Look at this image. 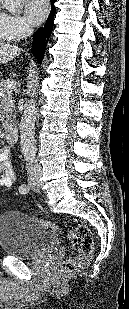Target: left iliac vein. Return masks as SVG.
Listing matches in <instances>:
<instances>
[{
    "instance_id": "left-iliac-vein-1",
    "label": "left iliac vein",
    "mask_w": 129,
    "mask_h": 309,
    "mask_svg": "<svg viewBox=\"0 0 129 309\" xmlns=\"http://www.w3.org/2000/svg\"><path fill=\"white\" fill-rule=\"evenodd\" d=\"M31 188H32V190H34V191L38 192V191H39V184H38V182H37V184H36V185L31 186Z\"/></svg>"
}]
</instances>
